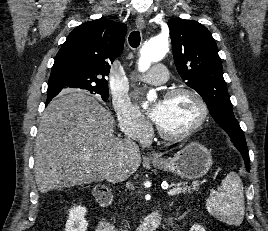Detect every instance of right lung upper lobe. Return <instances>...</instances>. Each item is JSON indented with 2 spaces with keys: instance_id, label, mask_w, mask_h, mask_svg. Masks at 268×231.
Returning a JSON list of instances; mask_svg holds the SVG:
<instances>
[{
  "instance_id": "obj_1",
  "label": "right lung upper lobe",
  "mask_w": 268,
  "mask_h": 231,
  "mask_svg": "<svg viewBox=\"0 0 268 231\" xmlns=\"http://www.w3.org/2000/svg\"><path fill=\"white\" fill-rule=\"evenodd\" d=\"M125 34V24L102 18L76 27L56 55L48 89L108 88L105 77L123 51ZM57 94H47L46 103Z\"/></svg>"
}]
</instances>
